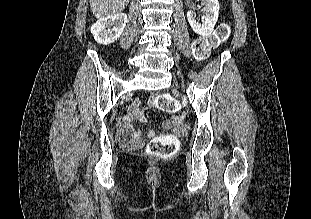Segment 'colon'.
Here are the masks:
<instances>
[{
    "instance_id": "colon-1",
    "label": "colon",
    "mask_w": 311,
    "mask_h": 219,
    "mask_svg": "<svg viewBox=\"0 0 311 219\" xmlns=\"http://www.w3.org/2000/svg\"><path fill=\"white\" fill-rule=\"evenodd\" d=\"M230 34L229 26L222 23L217 26L214 32L206 37L198 38L193 45V52L196 58H206L210 51L217 45L225 42ZM152 107H155L161 111L172 112L176 109L175 101L165 94L157 95L150 101ZM123 134L120 137V141L124 144L127 142L124 140ZM178 141L169 136H157L154 137L148 144V154L161 158H168L173 156L178 150Z\"/></svg>"
}]
</instances>
